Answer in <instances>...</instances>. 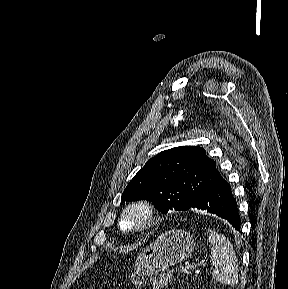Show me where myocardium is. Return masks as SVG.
<instances>
[{
  "label": "myocardium",
  "mask_w": 288,
  "mask_h": 289,
  "mask_svg": "<svg viewBox=\"0 0 288 289\" xmlns=\"http://www.w3.org/2000/svg\"><path fill=\"white\" fill-rule=\"evenodd\" d=\"M137 214L138 223L131 228H124L123 223L126 216ZM158 210L154 203L147 199H138L128 203L121 211L118 228L126 234H139L150 229L156 222Z\"/></svg>",
  "instance_id": "myocardium-1"
}]
</instances>
